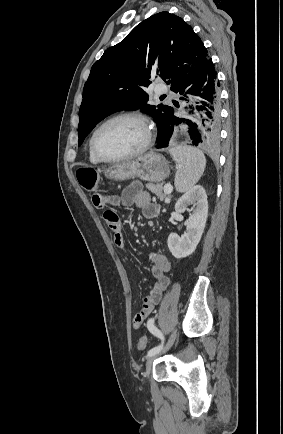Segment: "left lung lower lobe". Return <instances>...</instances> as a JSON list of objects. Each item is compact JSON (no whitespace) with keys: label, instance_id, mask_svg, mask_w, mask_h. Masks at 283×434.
I'll list each match as a JSON object with an SVG mask.
<instances>
[{"label":"left lung lower lobe","instance_id":"obj_1","mask_svg":"<svg viewBox=\"0 0 283 434\" xmlns=\"http://www.w3.org/2000/svg\"><path fill=\"white\" fill-rule=\"evenodd\" d=\"M219 86L217 73L210 58L186 81L172 89L175 93L194 95L195 106L190 119L176 117L172 110L162 135L157 138V148L167 147L173 128L184 124L188 128L187 132L193 146L216 149L220 141Z\"/></svg>","mask_w":283,"mask_h":434}]
</instances>
